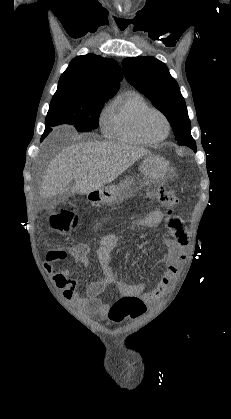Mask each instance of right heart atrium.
<instances>
[{"mask_svg":"<svg viewBox=\"0 0 231 419\" xmlns=\"http://www.w3.org/2000/svg\"><path fill=\"white\" fill-rule=\"evenodd\" d=\"M108 110L104 111L101 115L100 124L102 128H104L106 120H107Z\"/></svg>","mask_w":231,"mask_h":419,"instance_id":"right-heart-atrium-1","label":"right heart atrium"}]
</instances>
